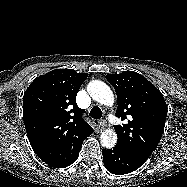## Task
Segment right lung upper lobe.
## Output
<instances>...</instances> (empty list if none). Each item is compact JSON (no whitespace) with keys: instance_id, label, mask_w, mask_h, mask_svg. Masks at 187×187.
<instances>
[{"instance_id":"1","label":"right lung upper lobe","mask_w":187,"mask_h":187,"mask_svg":"<svg viewBox=\"0 0 187 187\" xmlns=\"http://www.w3.org/2000/svg\"><path fill=\"white\" fill-rule=\"evenodd\" d=\"M87 73L56 69L36 77L23 96V120L30 144L46 164L68 163L84 139L93 133L76 104Z\"/></svg>"}]
</instances>
